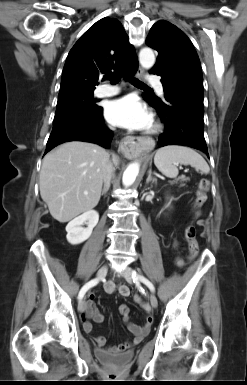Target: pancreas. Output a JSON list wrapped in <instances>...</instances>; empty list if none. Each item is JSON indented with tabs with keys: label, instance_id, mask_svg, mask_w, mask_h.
Returning a JSON list of instances; mask_svg holds the SVG:
<instances>
[{
	"label": "pancreas",
	"instance_id": "pancreas-1",
	"mask_svg": "<svg viewBox=\"0 0 247 385\" xmlns=\"http://www.w3.org/2000/svg\"><path fill=\"white\" fill-rule=\"evenodd\" d=\"M189 179L186 178L184 175L178 177L176 180L172 181L171 184H175L177 183L178 181H181V182H184V181H188ZM185 184H181V186H184Z\"/></svg>",
	"mask_w": 247,
	"mask_h": 385
}]
</instances>
